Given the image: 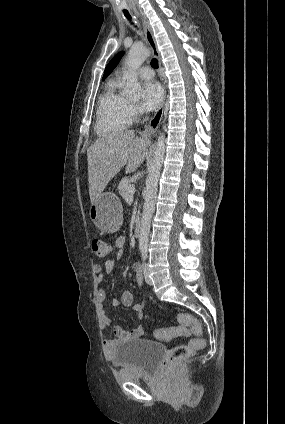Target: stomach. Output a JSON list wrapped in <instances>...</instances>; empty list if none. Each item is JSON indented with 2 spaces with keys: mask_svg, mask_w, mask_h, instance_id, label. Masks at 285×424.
<instances>
[{
  "mask_svg": "<svg viewBox=\"0 0 285 424\" xmlns=\"http://www.w3.org/2000/svg\"><path fill=\"white\" fill-rule=\"evenodd\" d=\"M94 225L105 233L117 231L123 221V207L117 195L111 192L101 193L89 209Z\"/></svg>",
  "mask_w": 285,
  "mask_h": 424,
  "instance_id": "obj_1",
  "label": "stomach"
}]
</instances>
